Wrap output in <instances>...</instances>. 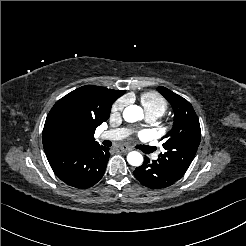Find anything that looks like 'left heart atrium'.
I'll return each instance as SVG.
<instances>
[{
  "label": "left heart atrium",
  "mask_w": 246,
  "mask_h": 246,
  "mask_svg": "<svg viewBox=\"0 0 246 246\" xmlns=\"http://www.w3.org/2000/svg\"><path fill=\"white\" fill-rule=\"evenodd\" d=\"M148 135V132L146 130H142L139 132V136L146 137Z\"/></svg>",
  "instance_id": "1"
}]
</instances>
